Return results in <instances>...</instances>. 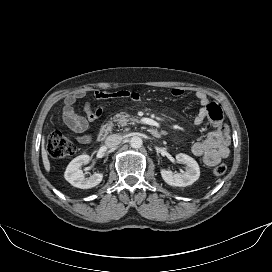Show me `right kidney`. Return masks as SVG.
Here are the masks:
<instances>
[{"label": "right kidney", "mask_w": 272, "mask_h": 272, "mask_svg": "<svg viewBox=\"0 0 272 272\" xmlns=\"http://www.w3.org/2000/svg\"><path fill=\"white\" fill-rule=\"evenodd\" d=\"M91 158L88 155H80L74 158L66 168L64 173L65 179L74 187L89 189L97 186L103 179L102 173H94L90 177H85L80 167L88 164Z\"/></svg>", "instance_id": "right-kidney-1"}]
</instances>
